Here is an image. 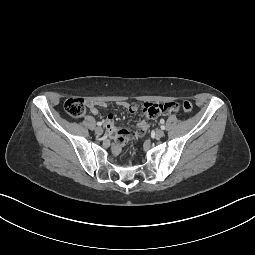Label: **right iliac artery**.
I'll return each mask as SVG.
<instances>
[{
    "label": "right iliac artery",
    "mask_w": 255,
    "mask_h": 255,
    "mask_svg": "<svg viewBox=\"0 0 255 255\" xmlns=\"http://www.w3.org/2000/svg\"><path fill=\"white\" fill-rule=\"evenodd\" d=\"M102 125V123L101 122H97V126H101Z\"/></svg>",
    "instance_id": "obj_1"
}]
</instances>
